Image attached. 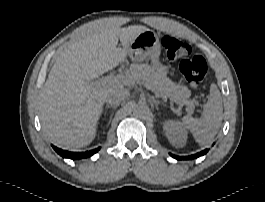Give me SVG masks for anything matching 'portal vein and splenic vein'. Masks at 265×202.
Instances as JSON below:
<instances>
[{"label": "portal vein and splenic vein", "mask_w": 265, "mask_h": 202, "mask_svg": "<svg viewBox=\"0 0 265 202\" xmlns=\"http://www.w3.org/2000/svg\"><path fill=\"white\" fill-rule=\"evenodd\" d=\"M128 81V78L122 74H118V75H108L106 77H103L95 82H92V85L94 86H105V85H110V84H120V83H126ZM161 96V95H160ZM163 98H166L164 96H162ZM181 106H183L184 104H181ZM188 107L189 106H194V104L192 102L187 103L186 104Z\"/></svg>", "instance_id": "obj_1"}]
</instances>
